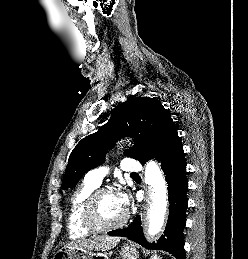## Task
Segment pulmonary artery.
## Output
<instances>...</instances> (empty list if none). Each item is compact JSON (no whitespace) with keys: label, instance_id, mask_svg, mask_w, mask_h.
Returning a JSON list of instances; mask_svg holds the SVG:
<instances>
[{"label":"pulmonary artery","instance_id":"1","mask_svg":"<svg viewBox=\"0 0 248 259\" xmlns=\"http://www.w3.org/2000/svg\"><path fill=\"white\" fill-rule=\"evenodd\" d=\"M120 169L126 173H138L141 171L142 167L138 161L132 158H126L121 162ZM107 174V169L104 167H98L90 170L86 176L85 180L95 184L100 185L103 178Z\"/></svg>","mask_w":248,"mask_h":259}]
</instances>
